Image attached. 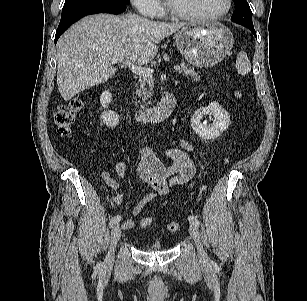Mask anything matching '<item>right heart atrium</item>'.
Returning <instances> with one entry per match:
<instances>
[{
    "instance_id": "right-heart-atrium-1",
    "label": "right heart atrium",
    "mask_w": 307,
    "mask_h": 301,
    "mask_svg": "<svg viewBox=\"0 0 307 301\" xmlns=\"http://www.w3.org/2000/svg\"><path fill=\"white\" fill-rule=\"evenodd\" d=\"M131 2L138 12L151 18L160 17L163 12L159 0H131Z\"/></svg>"
}]
</instances>
